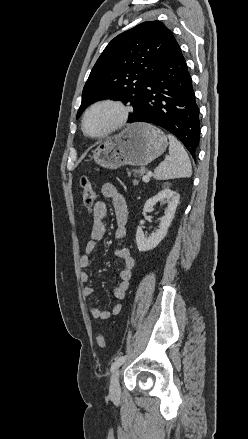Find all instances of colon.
Returning <instances> with one entry per match:
<instances>
[{
  "label": "colon",
  "instance_id": "colon-1",
  "mask_svg": "<svg viewBox=\"0 0 248 439\" xmlns=\"http://www.w3.org/2000/svg\"><path fill=\"white\" fill-rule=\"evenodd\" d=\"M80 185L82 187L83 204L88 211H91L94 208L96 199L92 181L88 176H83L81 177ZM96 341L101 349L106 348L107 343L103 335H98Z\"/></svg>",
  "mask_w": 248,
  "mask_h": 439
}]
</instances>
